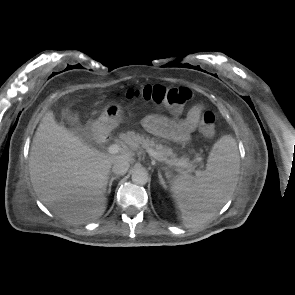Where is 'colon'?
<instances>
[{
  "mask_svg": "<svg viewBox=\"0 0 295 295\" xmlns=\"http://www.w3.org/2000/svg\"><path fill=\"white\" fill-rule=\"evenodd\" d=\"M124 96L128 99H144L157 105L165 106L174 113H179L192 93L184 87H165L162 85H146L141 88H130ZM200 132L205 136H211L215 131V115L206 109L202 112L199 126Z\"/></svg>",
  "mask_w": 295,
  "mask_h": 295,
  "instance_id": "obj_1",
  "label": "colon"
}]
</instances>
